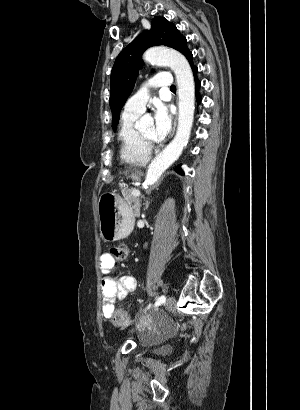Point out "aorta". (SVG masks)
<instances>
[{"label": "aorta", "mask_w": 300, "mask_h": 410, "mask_svg": "<svg viewBox=\"0 0 300 410\" xmlns=\"http://www.w3.org/2000/svg\"><path fill=\"white\" fill-rule=\"evenodd\" d=\"M143 58L146 62L170 67L175 75L178 85L179 116L178 127L174 139L150 163L145 185H154L164 171L172 165L181 155L187 145L194 119L195 86L192 70L187 59L178 51L164 47L148 49ZM143 120H141V123Z\"/></svg>", "instance_id": "obj_1"}]
</instances>
